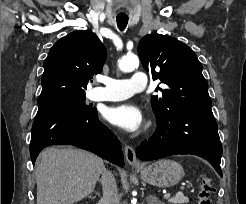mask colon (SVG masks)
Returning a JSON list of instances; mask_svg holds the SVG:
<instances>
[{
    "mask_svg": "<svg viewBox=\"0 0 246 204\" xmlns=\"http://www.w3.org/2000/svg\"><path fill=\"white\" fill-rule=\"evenodd\" d=\"M214 192L212 180L208 177L202 178L197 196L198 204H212L211 196Z\"/></svg>",
    "mask_w": 246,
    "mask_h": 204,
    "instance_id": "obj_1",
    "label": "colon"
}]
</instances>
